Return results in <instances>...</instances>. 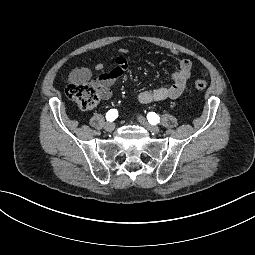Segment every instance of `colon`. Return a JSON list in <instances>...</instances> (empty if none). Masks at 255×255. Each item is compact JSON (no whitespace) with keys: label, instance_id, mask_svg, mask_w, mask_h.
Segmentation results:
<instances>
[{"label":"colon","instance_id":"obj_1","mask_svg":"<svg viewBox=\"0 0 255 255\" xmlns=\"http://www.w3.org/2000/svg\"><path fill=\"white\" fill-rule=\"evenodd\" d=\"M194 86L197 90H204L208 83L203 79H197ZM66 95L83 110L94 108L99 101V91L92 84L71 83L66 88Z\"/></svg>","mask_w":255,"mask_h":255}]
</instances>
